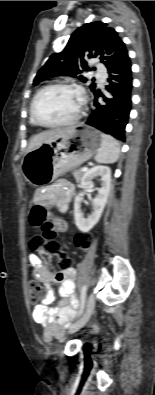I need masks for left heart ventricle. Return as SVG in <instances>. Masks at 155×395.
Listing matches in <instances>:
<instances>
[{
	"instance_id": "obj_1",
	"label": "left heart ventricle",
	"mask_w": 155,
	"mask_h": 395,
	"mask_svg": "<svg viewBox=\"0 0 155 395\" xmlns=\"http://www.w3.org/2000/svg\"><path fill=\"white\" fill-rule=\"evenodd\" d=\"M79 106V96L71 89L52 88L43 92L35 104L37 118L43 123L70 119Z\"/></svg>"
}]
</instances>
